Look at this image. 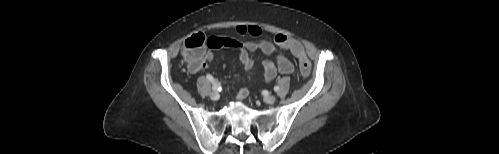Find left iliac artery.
Returning a JSON list of instances; mask_svg holds the SVG:
<instances>
[{"mask_svg":"<svg viewBox=\"0 0 499 154\" xmlns=\"http://www.w3.org/2000/svg\"><path fill=\"white\" fill-rule=\"evenodd\" d=\"M274 91H275V92L279 91V86H275V87H274Z\"/></svg>","mask_w":499,"mask_h":154,"instance_id":"1","label":"left iliac artery"}]
</instances>
